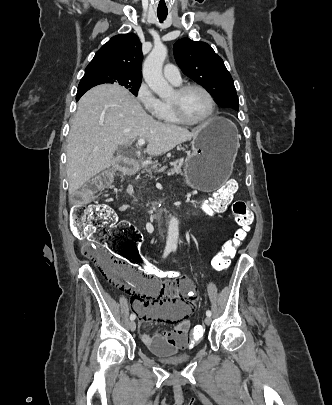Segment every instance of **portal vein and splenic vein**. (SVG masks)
I'll list each match as a JSON object with an SVG mask.
<instances>
[{
  "label": "portal vein and splenic vein",
  "mask_w": 332,
  "mask_h": 405,
  "mask_svg": "<svg viewBox=\"0 0 332 405\" xmlns=\"http://www.w3.org/2000/svg\"><path fill=\"white\" fill-rule=\"evenodd\" d=\"M144 144H145V139L139 138L137 143H136V146L140 147V146H143ZM161 171H163V169L159 170V172H161Z\"/></svg>",
  "instance_id": "18ae733b"
}]
</instances>
